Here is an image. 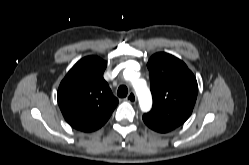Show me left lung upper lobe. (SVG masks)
Returning a JSON list of instances; mask_svg holds the SVG:
<instances>
[{
  "label": "left lung upper lobe",
  "instance_id": "obj_1",
  "mask_svg": "<svg viewBox=\"0 0 249 165\" xmlns=\"http://www.w3.org/2000/svg\"><path fill=\"white\" fill-rule=\"evenodd\" d=\"M153 107L144 117L182 125L191 115L198 85L195 76L180 59L168 53H156L147 63Z\"/></svg>",
  "mask_w": 249,
  "mask_h": 165
}]
</instances>
